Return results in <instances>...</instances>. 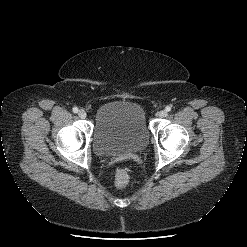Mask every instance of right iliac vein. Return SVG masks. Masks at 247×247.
<instances>
[{"label": "right iliac vein", "instance_id": "obj_1", "mask_svg": "<svg viewBox=\"0 0 247 247\" xmlns=\"http://www.w3.org/2000/svg\"><path fill=\"white\" fill-rule=\"evenodd\" d=\"M78 116L82 119H85L87 116L86 111L84 109L79 110Z\"/></svg>", "mask_w": 247, "mask_h": 247}]
</instances>
